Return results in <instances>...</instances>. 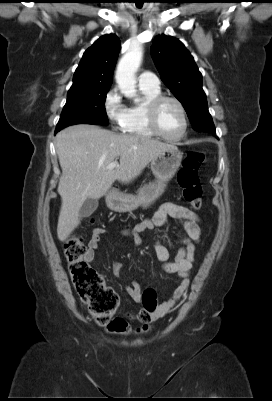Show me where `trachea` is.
<instances>
[{
    "instance_id": "3493384b",
    "label": "trachea",
    "mask_w": 272,
    "mask_h": 401,
    "mask_svg": "<svg viewBox=\"0 0 272 401\" xmlns=\"http://www.w3.org/2000/svg\"><path fill=\"white\" fill-rule=\"evenodd\" d=\"M136 6L139 7V8H141V7H142V4H137V3H136Z\"/></svg>"
}]
</instances>
